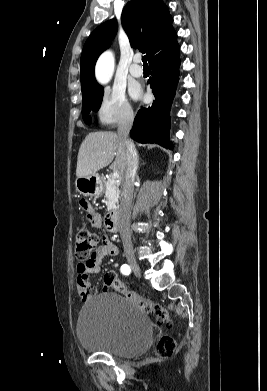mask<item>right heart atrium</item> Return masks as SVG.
<instances>
[{"label":"right heart atrium","mask_w":267,"mask_h":391,"mask_svg":"<svg viewBox=\"0 0 267 391\" xmlns=\"http://www.w3.org/2000/svg\"><path fill=\"white\" fill-rule=\"evenodd\" d=\"M96 115L101 125L114 126L130 122L133 110L124 92L119 88H112L104 91Z\"/></svg>","instance_id":"d8ad5b80"}]
</instances>
